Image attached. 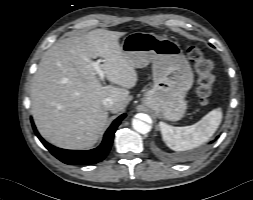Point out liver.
<instances>
[{
	"mask_svg": "<svg viewBox=\"0 0 253 200\" xmlns=\"http://www.w3.org/2000/svg\"><path fill=\"white\" fill-rule=\"evenodd\" d=\"M123 35L95 29L62 39L44 53L32 80L31 113L48 142L65 149L91 148L108 119L103 100H114L112 113L124 109L138 76L118 42ZM97 57L106 79L120 87L101 83L93 67Z\"/></svg>",
	"mask_w": 253,
	"mask_h": 200,
	"instance_id": "obj_1",
	"label": "liver"
}]
</instances>
